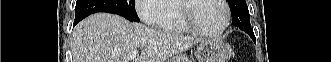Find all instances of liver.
<instances>
[{
    "label": "liver",
    "mask_w": 331,
    "mask_h": 62,
    "mask_svg": "<svg viewBox=\"0 0 331 62\" xmlns=\"http://www.w3.org/2000/svg\"><path fill=\"white\" fill-rule=\"evenodd\" d=\"M201 40L97 13L82 20L73 31V62H128L127 55L138 49L141 54L134 62H165Z\"/></svg>",
    "instance_id": "liver-1"
}]
</instances>
